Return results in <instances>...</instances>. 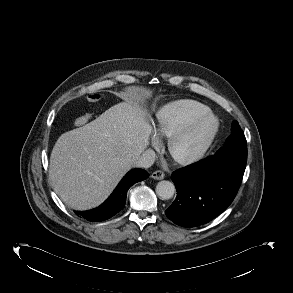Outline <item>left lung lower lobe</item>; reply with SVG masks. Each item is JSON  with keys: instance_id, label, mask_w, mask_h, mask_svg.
<instances>
[{"instance_id": "obj_1", "label": "left lung lower lobe", "mask_w": 293, "mask_h": 293, "mask_svg": "<svg viewBox=\"0 0 293 293\" xmlns=\"http://www.w3.org/2000/svg\"><path fill=\"white\" fill-rule=\"evenodd\" d=\"M247 162V145L221 148L214 156L172 173L177 197L166 216L177 225L195 227L208 223L233 201Z\"/></svg>"}]
</instances>
